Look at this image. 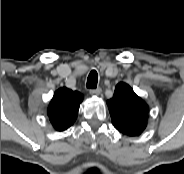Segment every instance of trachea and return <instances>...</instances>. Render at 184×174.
I'll use <instances>...</instances> for the list:
<instances>
[{
    "instance_id": "trachea-1",
    "label": "trachea",
    "mask_w": 184,
    "mask_h": 174,
    "mask_svg": "<svg viewBox=\"0 0 184 174\" xmlns=\"http://www.w3.org/2000/svg\"><path fill=\"white\" fill-rule=\"evenodd\" d=\"M98 82V74L95 70H92L87 78L86 86L89 89H96Z\"/></svg>"
}]
</instances>
